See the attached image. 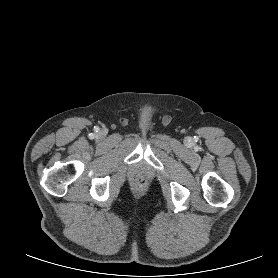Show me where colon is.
<instances>
[{
	"instance_id": "1",
	"label": "colon",
	"mask_w": 278,
	"mask_h": 278,
	"mask_svg": "<svg viewBox=\"0 0 278 278\" xmlns=\"http://www.w3.org/2000/svg\"><path fill=\"white\" fill-rule=\"evenodd\" d=\"M137 185H138L139 187H143V186L145 185V180L142 179V178H139V179L137 180Z\"/></svg>"
}]
</instances>
